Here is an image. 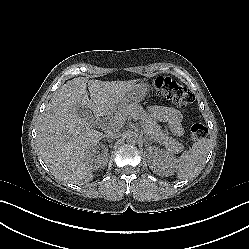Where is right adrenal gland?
<instances>
[{"instance_id":"right-adrenal-gland-1","label":"right adrenal gland","mask_w":249,"mask_h":249,"mask_svg":"<svg viewBox=\"0 0 249 249\" xmlns=\"http://www.w3.org/2000/svg\"><path fill=\"white\" fill-rule=\"evenodd\" d=\"M102 138H103L105 141L107 140L108 142H112V139H109V138H106V139H105V137H103V136L101 137V139H102ZM101 147L104 148L105 145L103 144Z\"/></svg>"}]
</instances>
